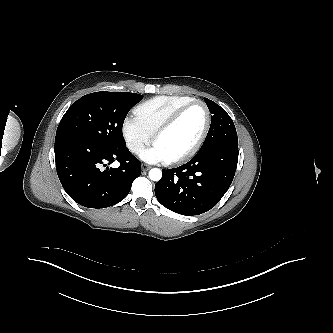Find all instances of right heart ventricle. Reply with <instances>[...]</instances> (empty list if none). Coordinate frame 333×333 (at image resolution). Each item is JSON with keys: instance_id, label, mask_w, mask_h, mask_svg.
I'll use <instances>...</instances> for the list:
<instances>
[{"instance_id": "right-heart-ventricle-1", "label": "right heart ventricle", "mask_w": 333, "mask_h": 333, "mask_svg": "<svg viewBox=\"0 0 333 333\" xmlns=\"http://www.w3.org/2000/svg\"><path fill=\"white\" fill-rule=\"evenodd\" d=\"M193 100L195 99L192 97L179 95L156 96L138 105L134 113L137 119L154 133L173 112Z\"/></svg>"}]
</instances>
